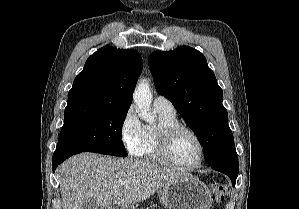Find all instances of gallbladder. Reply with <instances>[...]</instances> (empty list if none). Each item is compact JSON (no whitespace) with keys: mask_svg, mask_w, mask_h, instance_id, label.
Listing matches in <instances>:
<instances>
[{"mask_svg":"<svg viewBox=\"0 0 299 209\" xmlns=\"http://www.w3.org/2000/svg\"><path fill=\"white\" fill-rule=\"evenodd\" d=\"M82 209H100L99 204H97L93 199H88L85 201Z\"/></svg>","mask_w":299,"mask_h":209,"instance_id":"obj_1","label":"gallbladder"}]
</instances>
